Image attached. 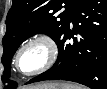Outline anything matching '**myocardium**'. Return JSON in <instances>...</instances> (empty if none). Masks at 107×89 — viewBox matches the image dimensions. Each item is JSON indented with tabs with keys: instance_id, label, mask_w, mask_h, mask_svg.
I'll use <instances>...</instances> for the list:
<instances>
[{
	"instance_id": "myocardium-1",
	"label": "myocardium",
	"mask_w": 107,
	"mask_h": 89,
	"mask_svg": "<svg viewBox=\"0 0 107 89\" xmlns=\"http://www.w3.org/2000/svg\"><path fill=\"white\" fill-rule=\"evenodd\" d=\"M34 43H42L46 49H47V59L45 63L39 67L38 69L31 71V72H23L19 67V58L21 53L24 51L25 48H27L29 45ZM58 57V46L55 40L46 33H38L30 38H28L26 41H24L21 46L18 48L15 57H14V67L15 69L23 76H35L38 74H41L48 69H50L54 63L56 62V59Z\"/></svg>"
}]
</instances>
